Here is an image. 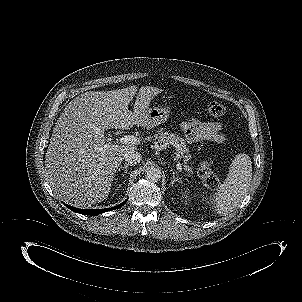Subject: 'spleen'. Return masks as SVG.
<instances>
[{"mask_svg": "<svg viewBox=\"0 0 302 302\" xmlns=\"http://www.w3.org/2000/svg\"><path fill=\"white\" fill-rule=\"evenodd\" d=\"M251 164L246 154H238L233 160L225 182L219 186L211 201L218 214L232 212L244 198L252 179Z\"/></svg>", "mask_w": 302, "mask_h": 302, "instance_id": "obj_1", "label": "spleen"}]
</instances>
